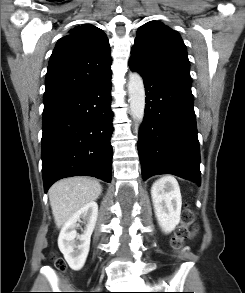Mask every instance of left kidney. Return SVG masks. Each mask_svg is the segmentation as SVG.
<instances>
[{"label":"left kidney","instance_id":"left-kidney-1","mask_svg":"<svg viewBox=\"0 0 245 293\" xmlns=\"http://www.w3.org/2000/svg\"><path fill=\"white\" fill-rule=\"evenodd\" d=\"M151 197L158 223L165 233L172 232L180 222L182 198L178 182L167 176L155 181Z\"/></svg>","mask_w":245,"mask_h":293}]
</instances>
